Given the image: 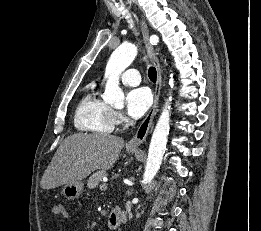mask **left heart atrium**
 Returning <instances> with one entry per match:
<instances>
[{"label":"left heart atrium","mask_w":261,"mask_h":231,"mask_svg":"<svg viewBox=\"0 0 261 231\" xmlns=\"http://www.w3.org/2000/svg\"><path fill=\"white\" fill-rule=\"evenodd\" d=\"M151 104V93L145 87L131 89L126 95V112L134 119L143 116Z\"/></svg>","instance_id":"obj_1"}]
</instances>
